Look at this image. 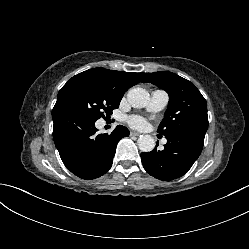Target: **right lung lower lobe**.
<instances>
[{
    "label": "right lung lower lobe",
    "mask_w": 249,
    "mask_h": 249,
    "mask_svg": "<svg viewBox=\"0 0 249 249\" xmlns=\"http://www.w3.org/2000/svg\"><path fill=\"white\" fill-rule=\"evenodd\" d=\"M53 139L64 165L82 179H95L111 167L116 146L129 130L118 125L96 135L95 122L67 109L53 108Z\"/></svg>",
    "instance_id": "98d812e1"
}]
</instances>
